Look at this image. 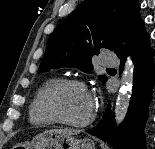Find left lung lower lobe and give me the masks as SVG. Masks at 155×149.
<instances>
[{
    "instance_id": "left-lung-lower-lobe-1",
    "label": "left lung lower lobe",
    "mask_w": 155,
    "mask_h": 149,
    "mask_svg": "<svg viewBox=\"0 0 155 149\" xmlns=\"http://www.w3.org/2000/svg\"><path fill=\"white\" fill-rule=\"evenodd\" d=\"M115 53L121 59L120 73L123 71L127 54H130L134 61V83L128 113L124 122L117 128L118 132L115 130L114 116H109V108L102 120L87 132L107 142L115 149H144L143 126L147 117L155 70L154 50L149 45V35L144 25L142 24L127 42V48L122 46Z\"/></svg>"
}]
</instances>
